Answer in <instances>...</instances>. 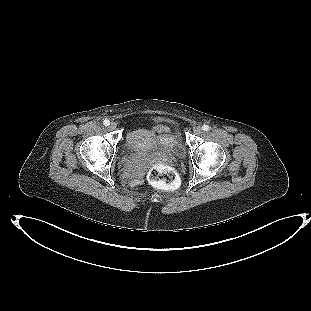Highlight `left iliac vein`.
<instances>
[{
  "instance_id": "1",
  "label": "left iliac vein",
  "mask_w": 311,
  "mask_h": 311,
  "mask_svg": "<svg viewBox=\"0 0 311 311\" xmlns=\"http://www.w3.org/2000/svg\"><path fill=\"white\" fill-rule=\"evenodd\" d=\"M193 131L196 135H200L202 133V128L200 126H195Z\"/></svg>"
}]
</instances>
